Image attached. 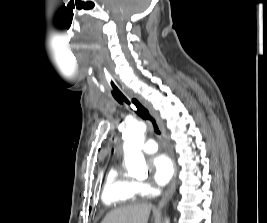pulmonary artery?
Segmentation results:
<instances>
[{
	"instance_id": "pulmonary-artery-1",
	"label": "pulmonary artery",
	"mask_w": 267,
	"mask_h": 223,
	"mask_svg": "<svg viewBox=\"0 0 267 223\" xmlns=\"http://www.w3.org/2000/svg\"><path fill=\"white\" fill-rule=\"evenodd\" d=\"M141 149L145 153H153L158 149V144L154 139H149L144 143Z\"/></svg>"
}]
</instances>
